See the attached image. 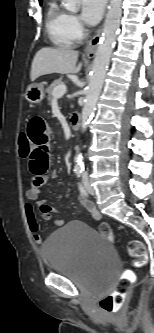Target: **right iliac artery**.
Segmentation results:
<instances>
[{
  "label": "right iliac artery",
  "mask_w": 154,
  "mask_h": 333,
  "mask_svg": "<svg viewBox=\"0 0 154 333\" xmlns=\"http://www.w3.org/2000/svg\"><path fill=\"white\" fill-rule=\"evenodd\" d=\"M83 171H84V169H82V168H75L74 169V172L78 177L81 176ZM79 190H80L81 194H83L84 196H87V193H86V191H85V189H84V187L82 186L81 183H79Z\"/></svg>",
  "instance_id": "1"
}]
</instances>
